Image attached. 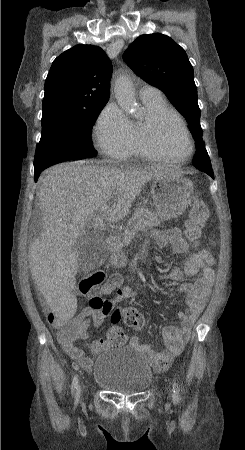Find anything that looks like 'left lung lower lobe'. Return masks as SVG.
<instances>
[{
  "mask_svg": "<svg viewBox=\"0 0 245 450\" xmlns=\"http://www.w3.org/2000/svg\"><path fill=\"white\" fill-rule=\"evenodd\" d=\"M196 150H197L196 153H197L198 155H200V157H201L202 159H206L207 152H206V150H205V148H204V145H196ZM202 171L206 172L208 175H210L212 178H214L212 168H210V169H205V170H202Z\"/></svg>",
  "mask_w": 245,
  "mask_h": 450,
  "instance_id": "obj_1",
  "label": "left lung lower lobe"
}]
</instances>
